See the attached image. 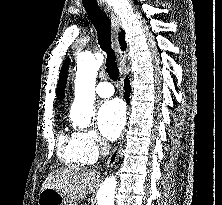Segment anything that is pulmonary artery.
<instances>
[{
	"mask_svg": "<svg viewBox=\"0 0 222 205\" xmlns=\"http://www.w3.org/2000/svg\"><path fill=\"white\" fill-rule=\"evenodd\" d=\"M96 93L99 97L108 98L114 94V88L108 82H101L96 87Z\"/></svg>",
	"mask_w": 222,
	"mask_h": 205,
	"instance_id": "pulmonary-artery-1",
	"label": "pulmonary artery"
}]
</instances>
